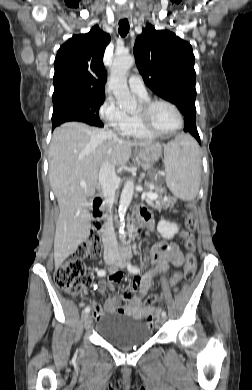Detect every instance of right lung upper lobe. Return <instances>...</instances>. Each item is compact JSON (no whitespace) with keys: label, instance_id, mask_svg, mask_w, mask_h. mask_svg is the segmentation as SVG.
I'll return each instance as SVG.
<instances>
[{"label":"right lung upper lobe","instance_id":"obj_1","mask_svg":"<svg viewBox=\"0 0 252 390\" xmlns=\"http://www.w3.org/2000/svg\"><path fill=\"white\" fill-rule=\"evenodd\" d=\"M110 35L94 26L86 34L74 35L58 50L54 61L53 101L68 97H105L103 55Z\"/></svg>","mask_w":252,"mask_h":390}]
</instances>
